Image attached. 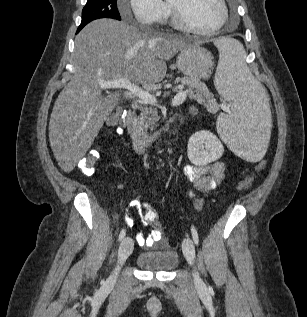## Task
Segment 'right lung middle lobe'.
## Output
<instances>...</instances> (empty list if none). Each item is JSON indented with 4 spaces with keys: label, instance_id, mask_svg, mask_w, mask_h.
<instances>
[{
    "label": "right lung middle lobe",
    "instance_id": "1",
    "mask_svg": "<svg viewBox=\"0 0 307 317\" xmlns=\"http://www.w3.org/2000/svg\"><path fill=\"white\" fill-rule=\"evenodd\" d=\"M99 18L121 20L117 9V0H88L82 10V21L80 26L84 27L92 20Z\"/></svg>",
    "mask_w": 307,
    "mask_h": 317
}]
</instances>
